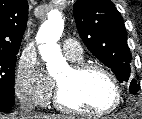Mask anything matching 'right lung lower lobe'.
<instances>
[{"mask_svg": "<svg viewBox=\"0 0 142 119\" xmlns=\"http://www.w3.org/2000/svg\"><path fill=\"white\" fill-rule=\"evenodd\" d=\"M15 103V99L0 96V112H7Z\"/></svg>", "mask_w": 142, "mask_h": 119, "instance_id": "98d812e1", "label": "right lung lower lobe"}]
</instances>
